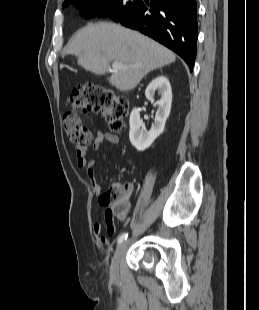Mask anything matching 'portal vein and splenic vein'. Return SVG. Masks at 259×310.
I'll return each instance as SVG.
<instances>
[{
  "label": "portal vein and splenic vein",
  "instance_id": "portal-vein-and-splenic-vein-1",
  "mask_svg": "<svg viewBox=\"0 0 259 310\" xmlns=\"http://www.w3.org/2000/svg\"><path fill=\"white\" fill-rule=\"evenodd\" d=\"M112 68L115 69V70H120V69H125V68H127V66L123 65V64L120 63V62L115 61V62H113V64H112Z\"/></svg>",
  "mask_w": 259,
  "mask_h": 310
}]
</instances>
